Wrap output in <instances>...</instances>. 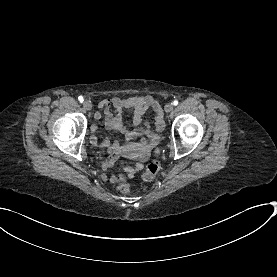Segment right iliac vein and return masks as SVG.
<instances>
[{"instance_id":"1","label":"right iliac vein","mask_w":277,"mask_h":277,"mask_svg":"<svg viewBox=\"0 0 277 277\" xmlns=\"http://www.w3.org/2000/svg\"><path fill=\"white\" fill-rule=\"evenodd\" d=\"M83 107H84L85 110L89 111V110L92 109V104H91L90 101L86 100V101L83 102Z\"/></svg>"}]
</instances>
